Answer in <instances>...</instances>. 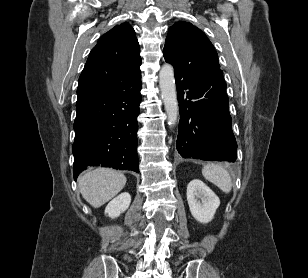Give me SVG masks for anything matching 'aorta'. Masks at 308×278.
Here are the masks:
<instances>
[{"instance_id":"1","label":"aorta","mask_w":308,"mask_h":278,"mask_svg":"<svg viewBox=\"0 0 308 278\" xmlns=\"http://www.w3.org/2000/svg\"><path fill=\"white\" fill-rule=\"evenodd\" d=\"M159 86L168 117V125L173 126L178 116V101L174 78V69L170 64H164L159 72Z\"/></svg>"}]
</instances>
